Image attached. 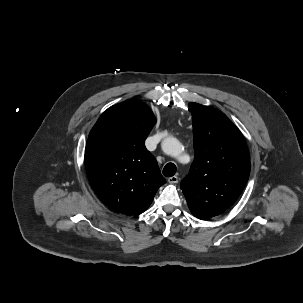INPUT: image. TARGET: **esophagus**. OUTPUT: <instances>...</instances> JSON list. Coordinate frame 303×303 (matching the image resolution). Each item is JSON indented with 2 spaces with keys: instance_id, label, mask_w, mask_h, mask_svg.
Returning a JSON list of instances; mask_svg holds the SVG:
<instances>
[{
  "instance_id": "34e87169",
  "label": "esophagus",
  "mask_w": 303,
  "mask_h": 303,
  "mask_svg": "<svg viewBox=\"0 0 303 303\" xmlns=\"http://www.w3.org/2000/svg\"><path fill=\"white\" fill-rule=\"evenodd\" d=\"M178 177L177 176H172V177H170V178H168V182L169 183H172V184H176V183H178Z\"/></svg>"
}]
</instances>
